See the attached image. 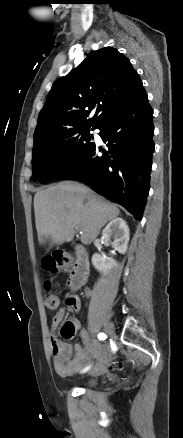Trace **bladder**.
<instances>
[{
  "label": "bladder",
  "mask_w": 183,
  "mask_h": 438,
  "mask_svg": "<svg viewBox=\"0 0 183 438\" xmlns=\"http://www.w3.org/2000/svg\"><path fill=\"white\" fill-rule=\"evenodd\" d=\"M96 381H97L96 378H91L86 382V385L87 386L94 385L96 383Z\"/></svg>",
  "instance_id": "obj_1"
}]
</instances>
